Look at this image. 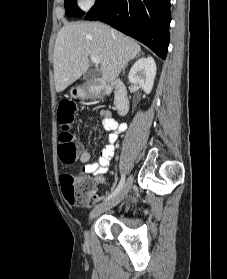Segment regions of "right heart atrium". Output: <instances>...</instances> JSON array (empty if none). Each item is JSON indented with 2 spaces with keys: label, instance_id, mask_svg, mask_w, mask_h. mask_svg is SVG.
Segmentation results:
<instances>
[{
  "label": "right heart atrium",
  "instance_id": "d8ad5b80",
  "mask_svg": "<svg viewBox=\"0 0 227 279\" xmlns=\"http://www.w3.org/2000/svg\"><path fill=\"white\" fill-rule=\"evenodd\" d=\"M97 2V0H79L80 5L83 8H90L92 7L95 3Z\"/></svg>",
  "mask_w": 227,
  "mask_h": 279
}]
</instances>
